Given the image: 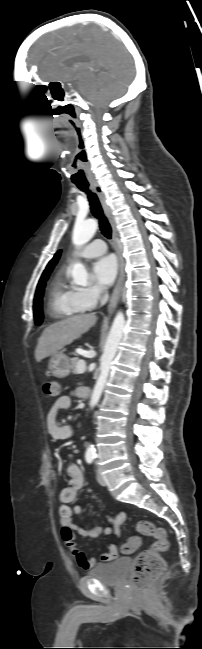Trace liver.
I'll return each instance as SVG.
<instances>
[{
	"label": "liver",
	"mask_w": 202,
	"mask_h": 649,
	"mask_svg": "<svg viewBox=\"0 0 202 649\" xmlns=\"http://www.w3.org/2000/svg\"><path fill=\"white\" fill-rule=\"evenodd\" d=\"M97 318L94 313L77 315L56 322L44 329L35 349V359L40 362L59 352L91 328Z\"/></svg>",
	"instance_id": "6515ba94"
}]
</instances>
